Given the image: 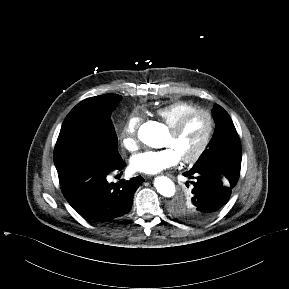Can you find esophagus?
Listing matches in <instances>:
<instances>
[{
	"label": "esophagus",
	"mask_w": 289,
	"mask_h": 289,
	"mask_svg": "<svg viewBox=\"0 0 289 289\" xmlns=\"http://www.w3.org/2000/svg\"><path fill=\"white\" fill-rule=\"evenodd\" d=\"M169 177H172V175L171 174H167Z\"/></svg>",
	"instance_id": "esophagus-1"
}]
</instances>
